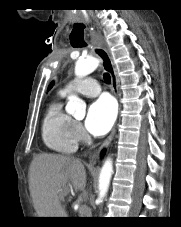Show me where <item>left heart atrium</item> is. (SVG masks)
I'll return each instance as SVG.
<instances>
[{
    "label": "left heart atrium",
    "instance_id": "obj_1",
    "mask_svg": "<svg viewBox=\"0 0 181 227\" xmlns=\"http://www.w3.org/2000/svg\"><path fill=\"white\" fill-rule=\"evenodd\" d=\"M116 118V106L109 97H100L88 109L85 125L96 136L106 134Z\"/></svg>",
    "mask_w": 181,
    "mask_h": 227
}]
</instances>
